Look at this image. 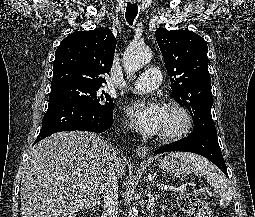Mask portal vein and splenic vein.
I'll return each mask as SVG.
<instances>
[{"label": "portal vein and splenic vein", "mask_w": 255, "mask_h": 217, "mask_svg": "<svg viewBox=\"0 0 255 217\" xmlns=\"http://www.w3.org/2000/svg\"><path fill=\"white\" fill-rule=\"evenodd\" d=\"M159 188L164 189V190L176 191V192L187 191V188L185 185H182V186L159 185Z\"/></svg>", "instance_id": "obj_1"}]
</instances>
